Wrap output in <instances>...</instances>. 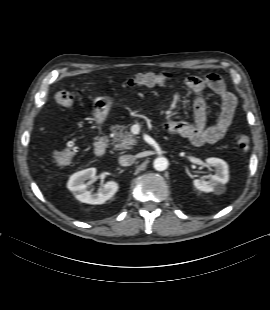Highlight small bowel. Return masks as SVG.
I'll return each mask as SVG.
<instances>
[{"instance_id":"small-bowel-1","label":"small bowel","mask_w":270,"mask_h":310,"mask_svg":"<svg viewBox=\"0 0 270 310\" xmlns=\"http://www.w3.org/2000/svg\"><path fill=\"white\" fill-rule=\"evenodd\" d=\"M185 85L194 95L193 123L170 121L165 124V129L188 139L194 146L214 144L221 140L228 132L236 108V98L231 93L223 79L215 73L204 78L189 76ZM211 90L220 100L221 110L217 121L212 125L206 123L205 90Z\"/></svg>"}]
</instances>
